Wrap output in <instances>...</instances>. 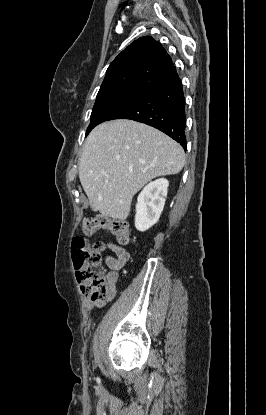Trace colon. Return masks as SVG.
Here are the masks:
<instances>
[{
  "label": "colon",
  "mask_w": 266,
  "mask_h": 415,
  "mask_svg": "<svg viewBox=\"0 0 266 415\" xmlns=\"http://www.w3.org/2000/svg\"><path fill=\"white\" fill-rule=\"evenodd\" d=\"M99 230H107L119 243L127 244L130 241V229L124 220L97 213L84 219L82 236L74 238L73 263L82 291L94 301H106L112 295V287L102 264L101 251L104 246L101 243L90 246L84 238L95 235Z\"/></svg>",
  "instance_id": "obj_1"
}]
</instances>
